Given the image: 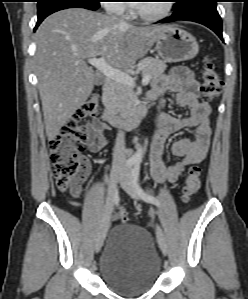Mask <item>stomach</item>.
Listing matches in <instances>:
<instances>
[{
  "label": "stomach",
  "instance_id": "stomach-1",
  "mask_svg": "<svg viewBox=\"0 0 248 299\" xmlns=\"http://www.w3.org/2000/svg\"><path fill=\"white\" fill-rule=\"evenodd\" d=\"M158 55L167 62H181L194 58L199 46L196 39L177 26H166L156 40Z\"/></svg>",
  "mask_w": 248,
  "mask_h": 299
}]
</instances>
